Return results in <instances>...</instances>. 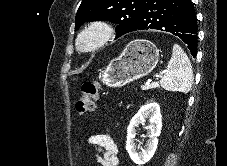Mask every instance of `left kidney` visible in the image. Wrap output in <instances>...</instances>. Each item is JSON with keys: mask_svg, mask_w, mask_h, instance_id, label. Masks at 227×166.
Listing matches in <instances>:
<instances>
[{"mask_svg": "<svg viewBox=\"0 0 227 166\" xmlns=\"http://www.w3.org/2000/svg\"><path fill=\"white\" fill-rule=\"evenodd\" d=\"M146 118L150 121V125L147 127L149 129V140L146 146L138 152L137 146L134 143L136 128L140 123H144ZM161 129L162 116L158 103L153 102L142 106L132 118L127 128L126 150L134 163L143 165L153 157L158 145V136L161 133Z\"/></svg>", "mask_w": 227, "mask_h": 166, "instance_id": "5707ae66", "label": "left kidney"}]
</instances>
